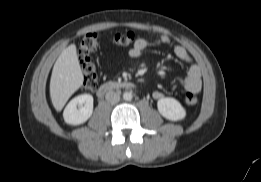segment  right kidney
Here are the masks:
<instances>
[{
  "mask_svg": "<svg viewBox=\"0 0 261 182\" xmlns=\"http://www.w3.org/2000/svg\"><path fill=\"white\" fill-rule=\"evenodd\" d=\"M93 113V96L82 94L73 98L63 112L64 121L70 125L86 122Z\"/></svg>",
  "mask_w": 261,
  "mask_h": 182,
  "instance_id": "ca27d5eb",
  "label": "right kidney"
}]
</instances>
